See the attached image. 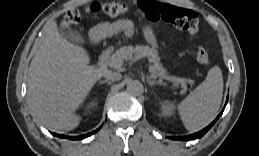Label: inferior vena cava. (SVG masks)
<instances>
[{
  "mask_svg": "<svg viewBox=\"0 0 259 156\" xmlns=\"http://www.w3.org/2000/svg\"><path fill=\"white\" fill-rule=\"evenodd\" d=\"M103 77L106 78L109 81H116V80H120L122 78V75L117 73V72H113V71L107 70L103 74Z\"/></svg>",
  "mask_w": 259,
  "mask_h": 156,
  "instance_id": "inferior-vena-cava-1",
  "label": "inferior vena cava"
}]
</instances>
